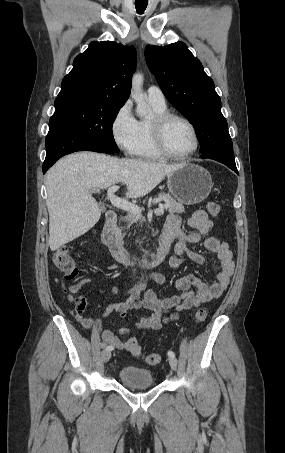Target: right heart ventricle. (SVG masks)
<instances>
[{"label": "right heart ventricle", "mask_w": 285, "mask_h": 453, "mask_svg": "<svg viewBox=\"0 0 285 453\" xmlns=\"http://www.w3.org/2000/svg\"><path fill=\"white\" fill-rule=\"evenodd\" d=\"M150 104L155 115L167 112L166 105L160 106L152 102ZM132 155L144 159H159L163 157L154 145L150 119H140L137 121L136 138Z\"/></svg>", "instance_id": "e07e8e85"}]
</instances>
